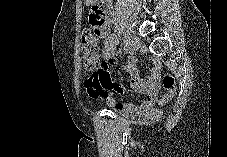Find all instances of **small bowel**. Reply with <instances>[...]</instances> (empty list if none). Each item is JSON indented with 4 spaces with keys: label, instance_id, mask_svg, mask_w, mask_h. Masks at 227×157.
Returning a JSON list of instances; mask_svg holds the SVG:
<instances>
[{
    "label": "small bowel",
    "instance_id": "small-bowel-1",
    "mask_svg": "<svg viewBox=\"0 0 227 157\" xmlns=\"http://www.w3.org/2000/svg\"><path fill=\"white\" fill-rule=\"evenodd\" d=\"M103 37V44L100 53L101 58V78L95 84H87L85 86L89 96L93 99H104L106 103L116 108L117 110L125 112H135L140 109L151 108L156 100L158 90L160 88V73L159 66L156 63L152 69L149 78L141 77L136 69V62L131 58L125 65V70L130 77V82L133 87L141 92L146 93L145 99L140 104L119 101L116 95L123 93L124 87L114 82L109 73V68L116 65L115 57L116 39L105 32H101Z\"/></svg>",
    "mask_w": 227,
    "mask_h": 157
}]
</instances>
